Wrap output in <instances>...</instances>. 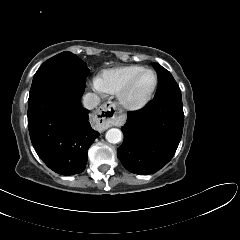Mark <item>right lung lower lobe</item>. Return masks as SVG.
Returning <instances> with one entry per match:
<instances>
[{"mask_svg": "<svg viewBox=\"0 0 240 240\" xmlns=\"http://www.w3.org/2000/svg\"><path fill=\"white\" fill-rule=\"evenodd\" d=\"M85 87L56 85L28 101V127L33 147L54 172L75 175L84 171L87 151L99 136L81 105Z\"/></svg>", "mask_w": 240, "mask_h": 240, "instance_id": "obj_1", "label": "right lung lower lobe"}]
</instances>
